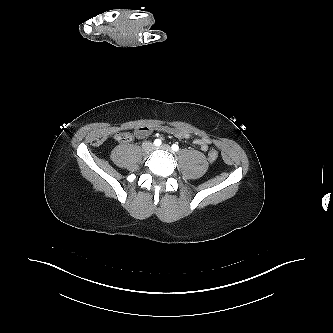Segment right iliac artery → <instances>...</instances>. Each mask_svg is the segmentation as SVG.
<instances>
[{"label": "right iliac artery", "instance_id": "right-iliac-artery-1", "mask_svg": "<svg viewBox=\"0 0 333 333\" xmlns=\"http://www.w3.org/2000/svg\"><path fill=\"white\" fill-rule=\"evenodd\" d=\"M162 144V141L160 139H155L154 140V145L155 146H160Z\"/></svg>", "mask_w": 333, "mask_h": 333}]
</instances>
